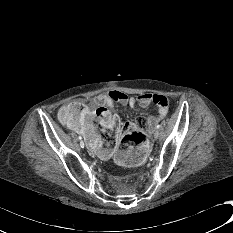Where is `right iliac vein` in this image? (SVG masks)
Instances as JSON below:
<instances>
[{
  "label": "right iliac vein",
  "instance_id": "1",
  "mask_svg": "<svg viewBox=\"0 0 233 233\" xmlns=\"http://www.w3.org/2000/svg\"><path fill=\"white\" fill-rule=\"evenodd\" d=\"M80 145H84V142H83V141H81V142H80Z\"/></svg>",
  "mask_w": 233,
  "mask_h": 233
}]
</instances>
